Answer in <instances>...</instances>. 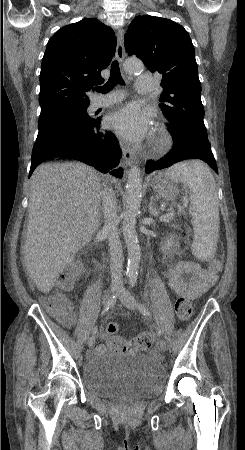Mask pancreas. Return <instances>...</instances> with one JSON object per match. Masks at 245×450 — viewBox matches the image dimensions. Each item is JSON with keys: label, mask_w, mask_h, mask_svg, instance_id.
I'll return each instance as SVG.
<instances>
[{"label": "pancreas", "mask_w": 245, "mask_h": 450, "mask_svg": "<svg viewBox=\"0 0 245 450\" xmlns=\"http://www.w3.org/2000/svg\"><path fill=\"white\" fill-rule=\"evenodd\" d=\"M170 220H173V218H172V217H170L169 219H167V220H166V222H169Z\"/></svg>", "instance_id": "obj_1"}]
</instances>
